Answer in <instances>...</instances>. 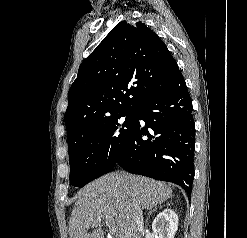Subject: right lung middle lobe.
Returning <instances> with one entry per match:
<instances>
[{"instance_id": "obj_1", "label": "right lung middle lobe", "mask_w": 247, "mask_h": 238, "mask_svg": "<svg viewBox=\"0 0 247 238\" xmlns=\"http://www.w3.org/2000/svg\"><path fill=\"white\" fill-rule=\"evenodd\" d=\"M135 122V113L118 115L87 129L69 145L70 183L83 187L112 171Z\"/></svg>"}]
</instances>
